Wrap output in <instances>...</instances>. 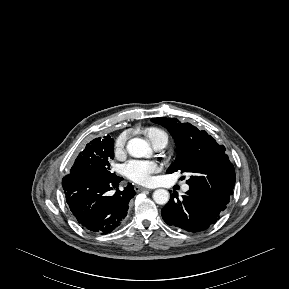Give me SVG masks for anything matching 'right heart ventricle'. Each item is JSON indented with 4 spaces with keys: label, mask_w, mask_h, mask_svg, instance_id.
Wrapping results in <instances>:
<instances>
[{
    "label": "right heart ventricle",
    "mask_w": 289,
    "mask_h": 289,
    "mask_svg": "<svg viewBox=\"0 0 289 289\" xmlns=\"http://www.w3.org/2000/svg\"><path fill=\"white\" fill-rule=\"evenodd\" d=\"M145 135L150 140V142H152L158 137H165L168 139L167 134L163 130L156 128V127H150L146 129Z\"/></svg>",
    "instance_id": "right-heart-ventricle-1"
}]
</instances>
